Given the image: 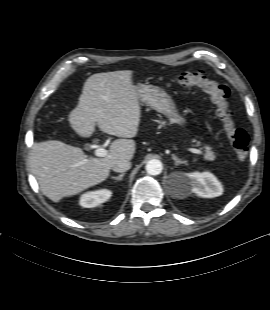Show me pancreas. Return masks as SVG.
Segmentation results:
<instances>
[{"instance_id":"obj_1","label":"pancreas","mask_w":270,"mask_h":310,"mask_svg":"<svg viewBox=\"0 0 270 310\" xmlns=\"http://www.w3.org/2000/svg\"><path fill=\"white\" fill-rule=\"evenodd\" d=\"M204 148H205V151H206L205 156H204L205 159L209 160V161L214 160L215 159V155H214V152L211 151V147L210 146H204Z\"/></svg>"}]
</instances>
